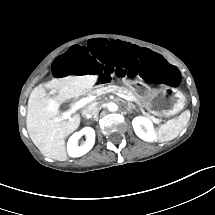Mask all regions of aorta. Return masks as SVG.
Instances as JSON below:
<instances>
[{
	"label": "aorta",
	"instance_id": "1",
	"mask_svg": "<svg viewBox=\"0 0 215 215\" xmlns=\"http://www.w3.org/2000/svg\"><path fill=\"white\" fill-rule=\"evenodd\" d=\"M105 107H106V109L108 111H111V112H114V111H116L118 109L117 104L114 103V102H108V103H106Z\"/></svg>",
	"mask_w": 215,
	"mask_h": 215
}]
</instances>
